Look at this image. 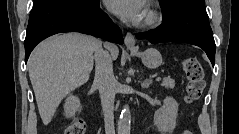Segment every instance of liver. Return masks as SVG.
<instances>
[{"label":"liver","instance_id":"liver-1","mask_svg":"<svg viewBox=\"0 0 239 134\" xmlns=\"http://www.w3.org/2000/svg\"><path fill=\"white\" fill-rule=\"evenodd\" d=\"M107 48L116 60L117 46ZM100 49L102 42L92 36L67 33L44 40L32 52L29 77L44 125L51 122L61 100L88 81L94 54Z\"/></svg>","mask_w":239,"mask_h":134}]
</instances>
